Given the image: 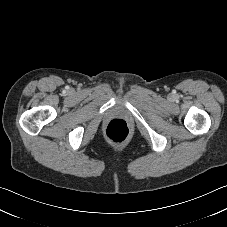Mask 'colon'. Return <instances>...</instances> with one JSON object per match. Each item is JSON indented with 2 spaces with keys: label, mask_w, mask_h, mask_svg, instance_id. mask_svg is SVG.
I'll return each mask as SVG.
<instances>
[{
  "label": "colon",
  "mask_w": 227,
  "mask_h": 227,
  "mask_svg": "<svg viewBox=\"0 0 227 227\" xmlns=\"http://www.w3.org/2000/svg\"><path fill=\"white\" fill-rule=\"evenodd\" d=\"M129 134V127L124 120L113 119L106 126V137L113 142H123Z\"/></svg>",
  "instance_id": "obj_1"
}]
</instances>
